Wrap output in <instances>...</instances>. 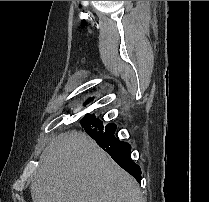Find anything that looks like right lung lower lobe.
I'll use <instances>...</instances> for the list:
<instances>
[{"instance_id":"right-lung-lower-lobe-1","label":"right lung lower lobe","mask_w":209,"mask_h":202,"mask_svg":"<svg viewBox=\"0 0 209 202\" xmlns=\"http://www.w3.org/2000/svg\"><path fill=\"white\" fill-rule=\"evenodd\" d=\"M81 126L86 133L93 138L113 158V160L131 174L138 182L141 181V170L130 156V144L120 141L114 136L116 131L115 124H108L105 127L95 115L87 114L81 121Z\"/></svg>"}]
</instances>
